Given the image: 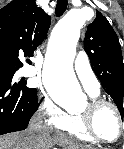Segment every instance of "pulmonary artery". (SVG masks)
Instances as JSON below:
<instances>
[{"instance_id":"obj_1","label":"pulmonary artery","mask_w":124,"mask_h":149,"mask_svg":"<svg viewBox=\"0 0 124 149\" xmlns=\"http://www.w3.org/2000/svg\"><path fill=\"white\" fill-rule=\"evenodd\" d=\"M74 69L85 91L88 94H99L100 83L91 68L87 55L84 52L78 54ZM34 74L35 71L33 69H27L24 71V75L26 76Z\"/></svg>"}]
</instances>
